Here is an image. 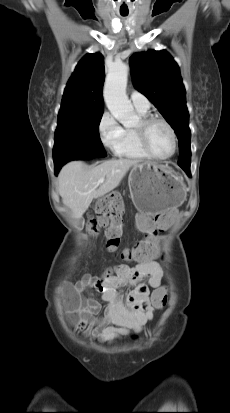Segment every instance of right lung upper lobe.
Returning <instances> with one entry per match:
<instances>
[{
	"mask_svg": "<svg viewBox=\"0 0 230 413\" xmlns=\"http://www.w3.org/2000/svg\"><path fill=\"white\" fill-rule=\"evenodd\" d=\"M104 77L103 56L100 53L85 55L66 85L58 119L102 115Z\"/></svg>",
	"mask_w": 230,
	"mask_h": 413,
	"instance_id": "1",
	"label": "right lung upper lobe"
}]
</instances>
